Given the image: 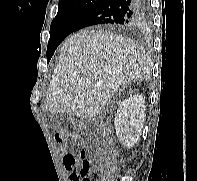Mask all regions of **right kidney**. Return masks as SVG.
I'll return each mask as SVG.
<instances>
[{"label": "right kidney", "mask_w": 197, "mask_h": 181, "mask_svg": "<svg viewBox=\"0 0 197 181\" xmlns=\"http://www.w3.org/2000/svg\"><path fill=\"white\" fill-rule=\"evenodd\" d=\"M145 118V100L133 95L120 103L114 119L116 135L126 147L133 146L140 138Z\"/></svg>", "instance_id": "ca27d5eb"}]
</instances>
